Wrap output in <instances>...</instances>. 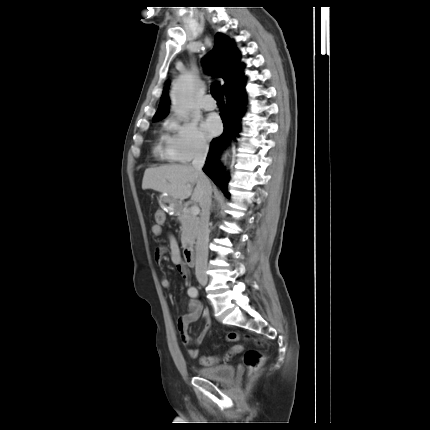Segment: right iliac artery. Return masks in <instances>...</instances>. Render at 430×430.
Here are the masks:
<instances>
[{
    "label": "right iliac artery",
    "instance_id": "82829eb1",
    "mask_svg": "<svg viewBox=\"0 0 430 430\" xmlns=\"http://www.w3.org/2000/svg\"><path fill=\"white\" fill-rule=\"evenodd\" d=\"M187 292H188V295L190 297H197L198 296V289L195 287H190Z\"/></svg>",
    "mask_w": 430,
    "mask_h": 430
}]
</instances>
